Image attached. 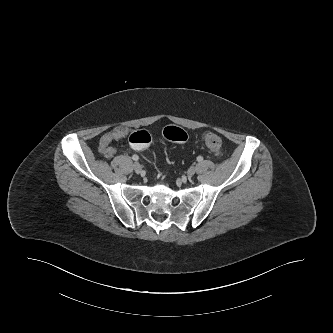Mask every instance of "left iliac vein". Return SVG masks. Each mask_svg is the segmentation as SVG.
<instances>
[{"label": "left iliac vein", "mask_w": 333, "mask_h": 333, "mask_svg": "<svg viewBox=\"0 0 333 333\" xmlns=\"http://www.w3.org/2000/svg\"><path fill=\"white\" fill-rule=\"evenodd\" d=\"M196 173V168L194 166L190 167L187 171V176L192 177Z\"/></svg>", "instance_id": "left-iliac-vein-1"}]
</instances>
